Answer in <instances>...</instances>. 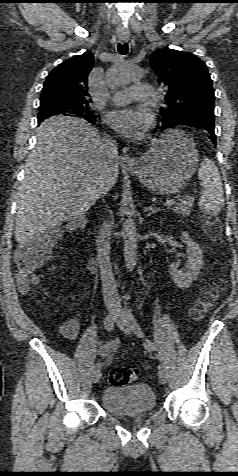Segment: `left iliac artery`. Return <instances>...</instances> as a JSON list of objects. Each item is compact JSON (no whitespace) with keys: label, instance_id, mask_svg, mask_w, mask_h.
<instances>
[{"label":"left iliac artery","instance_id":"1","mask_svg":"<svg viewBox=\"0 0 238 476\" xmlns=\"http://www.w3.org/2000/svg\"><path fill=\"white\" fill-rule=\"evenodd\" d=\"M126 317H127L128 323H129L131 329L134 331V333L138 337L144 338L145 336H144V334L141 330V327H140L139 323L137 322L136 318L134 317V315L132 314L131 309H129V308L126 309ZM144 346H145V348H147L149 350H152V351L157 350V346L148 339L144 340Z\"/></svg>","mask_w":238,"mask_h":476}]
</instances>
